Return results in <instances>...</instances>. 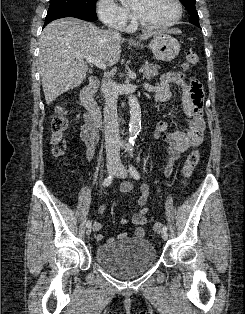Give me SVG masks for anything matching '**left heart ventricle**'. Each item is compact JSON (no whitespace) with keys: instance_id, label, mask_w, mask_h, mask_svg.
Returning <instances> with one entry per match:
<instances>
[{"instance_id":"b2bd125f","label":"left heart ventricle","mask_w":245,"mask_h":314,"mask_svg":"<svg viewBox=\"0 0 245 314\" xmlns=\"http://www.w3.org/2000/svg\"><path fill=\"white\" fill-rule=\"evenodd\" d=\"M131 7L142 20L150 23L168 22L177 14L174 0H132Z\"/></svg>"}]
</instances>
